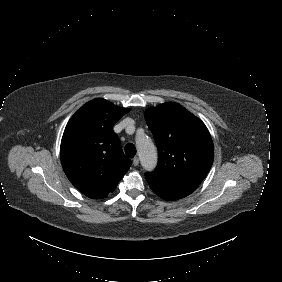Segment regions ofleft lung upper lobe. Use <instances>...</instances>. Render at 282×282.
Wrapping results in <instances>:
<instances>
[{"instance_id":"obj_1","label":"left lung upper lobe","mask_w":282,"mask_h":282,"mask_svg":"<svg viewBox=\"0 0 282 282\" xmlns=\"http://www.w3.org/2000/svg\"><path fill=\"white\" fill-rule=\"evenodd\" d=\"M144 117L159 153L158 165L151 174L199 185L214 160L213 142L204 123L173 102L148 108Z\"/></svg>"}]
</instances>
